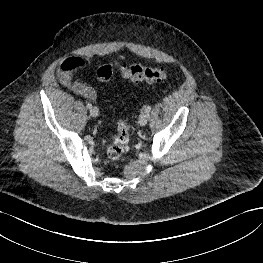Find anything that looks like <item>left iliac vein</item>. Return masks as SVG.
Segmentation results:
<instances>
[{
    "label": "left iliac vein",
    "instance_id": "1",
    "mask_svg": "<svg viewBox=\"0 0 263 263\" xmlns=\"http://www.w3.org/2000/svg\"><path fill=\"white\" fill-rule=\"evenodd\" d=\"M148 119H149V113L146 112V111H144V112H142V113L140 114L138 122H139V124H140L141 126H144V125L147 124Z\"/></svg>",
    "mask_w": 263,
    "mask_h": 263
}]
</instances>
